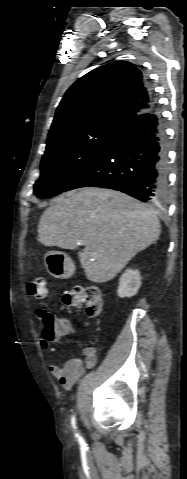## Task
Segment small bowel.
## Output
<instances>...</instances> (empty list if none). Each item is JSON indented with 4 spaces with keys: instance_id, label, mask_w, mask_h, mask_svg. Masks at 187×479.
Masks as SVG:
<instances>
[{
    "instance_id": "obj_1",
    "label": "small bowel",
    "mask_w": 187,
    "mask_h": 479,
    "mask_svg": "<svg viewBox=\"0 0 187 479\" xmlns=\"http://www.w3.org/2000/svg\"><path fill=\"white\" fill-rule=\"evenodd\" d=\"M64 326L63 336L71 331V323L66 318H57ZM55 341V340H53ZM52 340L42 338L40 347L52 353L54 348L51 346ZM84 359L73 357L64 364L51 363L49 370L52 376L57 379L65 390H70L74 384L84 375L86 370L92 369L97 363V356L94 347H86L83 349Z\"/></svg>"
}]
</instances>
